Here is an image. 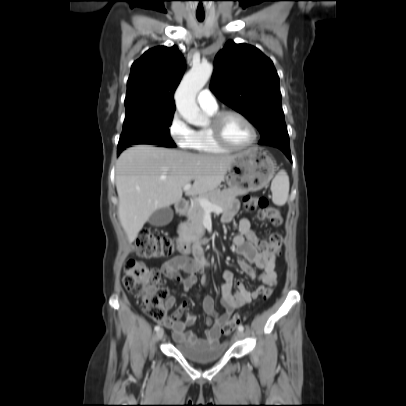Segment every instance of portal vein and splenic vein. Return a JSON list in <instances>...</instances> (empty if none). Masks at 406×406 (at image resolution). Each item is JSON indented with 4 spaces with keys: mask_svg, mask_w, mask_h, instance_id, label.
Returning <instances> with one entry per match:
<instances>
[{
    "mask_svg": "<svg viewBox=\"0 0 406 406\" xmlns=\"http://www.w3.org/2000/svg\"><path fill=\"white\" fill-rule=\"evenodd\" d=\"M190 188H191V183H187L183 187V189L185 191L189 190ZM199 203H200V206L206 211H214L216 213H221L222 212V209L219 206L211 203L207 199L202 198V199L199 200Z\"/></svg>",
    "mask_w": 406,
    "mask_h": 406,
    "instance_id": "18ae733b",
    "label": "portal vein and splenic vein"
}]
</instances>
